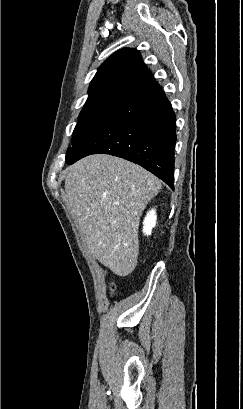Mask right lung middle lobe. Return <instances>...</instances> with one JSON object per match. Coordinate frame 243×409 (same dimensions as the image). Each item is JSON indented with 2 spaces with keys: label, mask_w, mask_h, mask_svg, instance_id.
<instances>
[{
  "label": "right lung middle lobe",
  "mask_w": 243,
  "mask_h": 409,
  "mask_svg": "<svg viewBox=\"0 0 243 409\" xmlns=\"http://www.w3.org/2000/svg\"><path fill=\"white\" fill-rule=\"evenodd\" d=\"M123 100L106 99L86 102L73 131L72 148H68L66 158L87 137L103 125L122 104Z\"/></svg>",
  "instance_id": "1"
}]
</instances>
